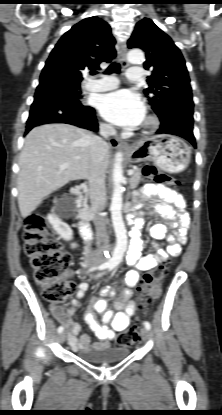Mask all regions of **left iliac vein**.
<instances>
[{"label":"left iliac vein","instance_id":"1","mask_svg":"<svg viewBox=\"0 0 222 415\" xmlns=\"http://www.w3.org/2000/svg\"><path fill=\"white\" fill-rule=\"evenodd\" d=\"M141 337L144 341H147L149 339V330L146 327H143L141 329Z\"/></svg>","mask_w":222,"mask_h":415}]
</instances>
